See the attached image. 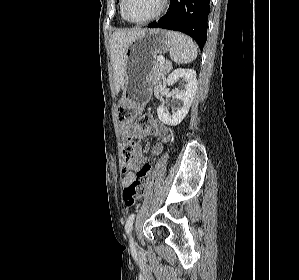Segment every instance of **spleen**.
I'll use <instances>...</instances> for the list:
<instances>
[{"mask_svg":"<svg viewBox=\"0 0 299 280\" xmlns=\"http://www.w3.org/2000/svg\"><path fill=\"white\" fill-rule=\"evenodd\" d=\"M170 44V57L176 63H190L197 57V47L193 40L184 34L167 31Z\"/></svg>","mask_w":299,"mask_h":280,"instance_id":"spleen-1","label":"spleen"}]
</instances>
